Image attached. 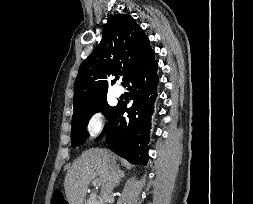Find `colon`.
Listing matches in <instances>:
<instances>
[{
    "label": "colon",
    "mask_w": 253,
    "mask_h": 204,
    "mask_svg": "<svg viewBox=\"0 0 253 204\" xmlns=\"http://www.w3.org/2000/svg\"><path fill=\"white\" fill-rule=\"evenodd\" d=\"M65 198L61 191H54L51 198V204H65Z\"/></svg>",
    "instance_id": "5ec220e1"
}]
</instances>
